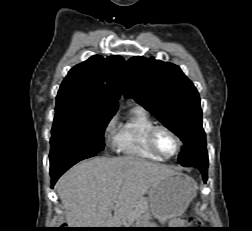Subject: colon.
Instances as JSON below:
<instances>
[{"label": "colon", "instance_id": "5ec220e1", "mask_svg": "<svg viewBox=\"0 0 252 231\" xmlns=\"http://www.w3.org/2000/svg\"><path fill=\"white\" fill-rule=\"evenodd\" d=\"M199 219L198 218H195V217H190L189 219H188V223L189 224H192V225H197V224H199Z\"/></svg>", "mask_w": 252, "mask_h": 231}]
</instances>
